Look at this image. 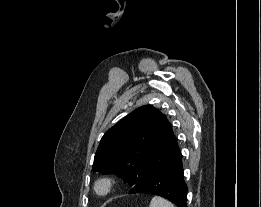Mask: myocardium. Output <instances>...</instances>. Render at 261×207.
Here are the masks:
<instances>
[{"label": "myocardium", "mask_w": 261, "mask_h": 207, "mask_svg": "<svg viewBox=\"0 0 261 207\" xmlns=\"http://www.w3.org/2000/svg\"><path fill=\"white\" fill-rule=\"evenodd\" d=\"M114 185V180L109 176L98 178L93 185V190L96 195L104 197L110 193Z\"/></svg>", "instance_id": "obj_1"}]
</instances>
